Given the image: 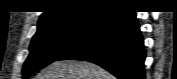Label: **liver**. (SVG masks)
<instances>
[{"label":"liver","mask_w":177,"mask_h":79,"mask_svg":"<svg viewBox=\"0 0 177 79\" xmlns=\"http://www.w3.org/2000/svg\"><path fill=\"white\" fill-rule=\"evenodd\" d=\"M36 79H113V76L87 61L63 60L41 70Z\"/></svg>","instance_id":"obj_1"}]
</instances>
